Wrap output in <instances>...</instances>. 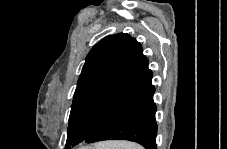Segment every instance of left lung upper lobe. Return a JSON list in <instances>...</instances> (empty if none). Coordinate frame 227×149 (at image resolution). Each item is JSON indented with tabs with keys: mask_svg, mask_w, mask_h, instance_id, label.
Wrapping results in <instances>:
<instances>
[{
	"mask_svg": "<svg viewBox=\"0 0 227 149\" xmlns=\"http://www.w3.org/2000/svg\"><path fill=\"white\" fill-rule=\"evenodd\" d=\"M142 46L126 33L109 35L86 57L72 102L66 148L82 143L129 83Z\"/></svg>",
	"mask_w": 227,
	"mask_h": 149,
	"instance_id": "left-lung-upper-lobe-1",
	"label": "left lung upper lobe"
}]
</instances>
